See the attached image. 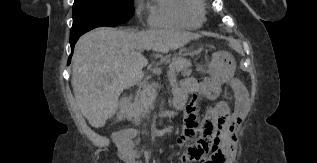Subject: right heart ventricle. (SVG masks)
I'll return each mask as SVG.
<instances>
[{
  "label": "right heart ventricle",
  "instance_id": "right-heart-ventricle-1",
  "mask_svg": "<svg viewBox=\"0 0 317 163\" xmlns=\"http://www.w3.org/2000/svg\"><path fill=\"white\" fill-rule=\"evenodd\" d=\"M149 24L153 28H199L205 21L203 0H151Z\"/></svg>",
  "mask_w": 317,
  "mask_h": 163
}]
</instances>
